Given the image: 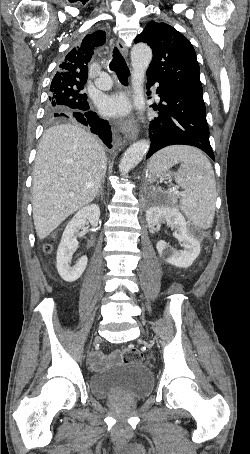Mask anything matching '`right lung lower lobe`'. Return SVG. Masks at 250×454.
Instances as JSON below:
<instances>
[{"mask_svg": "<svg viewBox=\"0 0 250 454\" xmlns=\"http://www.w3.org/2000/svg\"><path fill=\"white\" fill-rule=\"evenodd\" d=\"M89 105L70 114L62 113V118L75 119L77 122L90 127L91 132L97 134L108 148H111L112 133L108 122L100 119L95 112L89 111Z\"/></svg>", "mask_w": 250, "mask_h": 454, "instance_id": "1", "label": "right lung lower lobe"}]
</instances>
